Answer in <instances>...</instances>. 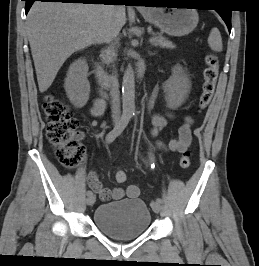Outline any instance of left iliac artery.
Listing matches in <instances>:
<instances>
[{
  "label": "left iliac artery",
  "mask_w": 259,
  "mask_h": 266,
  "mask_svg": "<svg viewBox=\"0 0 259 266\" xmlns=\"http://www.w3.org/2000/svg\"><path fill=\"white\" fill-rule=\"evenodd\" d=\"M152 168H154V164H153ZM156 202H158V203H162V200H161L160 198H157V199H156Z\"/></svg>",
  "instance_id": "1"
}]
</instances>
